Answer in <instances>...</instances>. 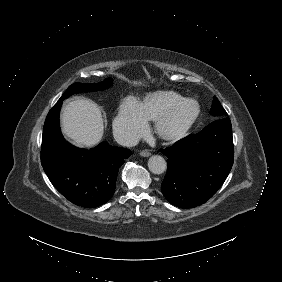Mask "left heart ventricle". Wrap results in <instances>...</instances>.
<instances>
[{
    "label": "left heart ventricle",
    "instance_id": "obj_1",
    "mask_svg": "<svg viewBox=\"0 0 282 282\" xmlns=\"http://www.w3.org/2000/svg\"><path fill=\"white\" fill-rule=\"evenodd\" d=\"M197 113V106L194 102L185 104L171 119V125L194 116Z\"/></svg>",
    "mask_w": 282,
    "mask_h": 282
}]
</instances>
